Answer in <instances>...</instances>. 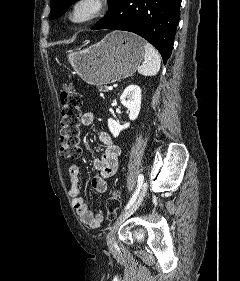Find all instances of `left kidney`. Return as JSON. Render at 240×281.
<instances>
[{
	"mask_svg": "<svg viewBox=\"0 0 240 281\" xmlns=\"http://www.w3.org/2000/svg\"><path fill=\"white\" fill-rule=\"evenodd\" d=\"M120 102L129 111V119L131 121L135 120L141 109V89L138 85H129L120 96ZM130 123L120 125L114 119H108V127L110 132L114 137H118L120 132L127 129Z\"/></svg>",
	"mask_w": 240,
	"mask_h": 281,
	"instance_id": "left-kidney-1",
	"label": "left kidney"
}]
</instances>
